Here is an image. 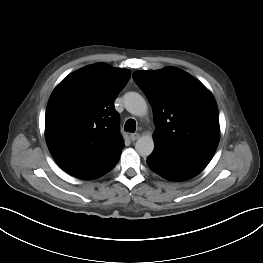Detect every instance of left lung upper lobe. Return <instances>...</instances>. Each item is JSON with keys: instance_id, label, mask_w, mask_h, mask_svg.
<instances>
[{"instance_id": "5c2ea615", "label": "left lung upper lobe", "mask_w": 263, "mask_h": 263, "mask_svg": "<svg viewBox=\"0 0 263 263\" xmlns=\"http://www.w3.org/2000/svg\"><path fill=\"white\" fill-rule=\"evenodd\" d=\"M133 79L153 108L155 142L216 150L220 137L218 108L200 81L175 67L136 71Z\"/></svg>"}]
</instances>
